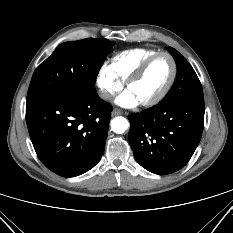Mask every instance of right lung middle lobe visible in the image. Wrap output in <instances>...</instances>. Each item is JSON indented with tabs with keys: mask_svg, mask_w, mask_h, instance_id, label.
<instances>
[{
	"mask_svg": "<svg viewBox=\"0 0 233 233\" xmlns=\"http://www.w3.org/2000/svg\"><path fill=\"white\" fill-rule=\"evenodd\" d=\"M113 44L114 42L99 38L60 44L35 70L26 103L93 87Z\"/></svg>",
	"mask_w": 233,
	"mask_h": 233,
	"instance_id": "dd1d6c3e",
	"label": "right lung middle lobe"
}]
</instances>
